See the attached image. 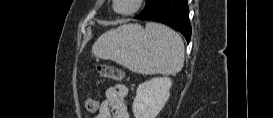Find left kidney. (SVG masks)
I'll use <instances>...</instances> for the list:
<instances>
[{
  "label": "left kidney",
  "instance_id": "5707ae66",
  "mask_svg": "<svg viewBox=\"0 0 273 118\" xmlns=\"http://www.w3.org/2000/svg\"><path fill=\"white\" fill-rule=\"evenodd\" d=\"M171 86L168 77H155L140 84L132 106L135 118H156L170 97Z\"/></svg>",
  "mask_w": 273,
  "mask_h": 118
}]
</instances>
